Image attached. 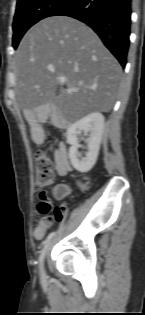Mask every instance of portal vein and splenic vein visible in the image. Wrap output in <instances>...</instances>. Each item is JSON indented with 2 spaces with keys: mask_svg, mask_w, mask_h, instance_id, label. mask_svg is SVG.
Returning a JSON list of instances; mask_svg holds the SVG:
<instances>
[{
  "mask_svg": "<svg viewBox=\"0 0 145 315\" xmlns=\"http://www.w3.org/2000/svg\"><path fill=\"white\" fill-rule=\"evenodd\" d=\"M60 83H61V84H64V83H65V79H61V80H60ZM78 90H79V89H77V88H69V89H68L69 92H76V91H78Z\"/></svg>",
  "mask_w": 145,
  "mask_h": 315,
  "instance_id": "obj_1",
  "label": "portal vein and splenic vein"
}]
</instances>
